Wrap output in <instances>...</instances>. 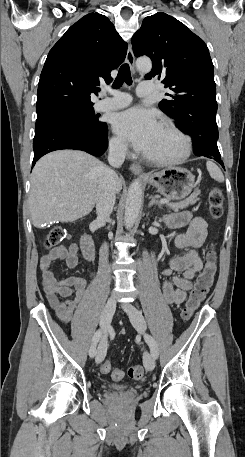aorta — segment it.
<instances>
[{
	"label": "aorta",
	"mask_w": 245,
	"mask_h": 457,
	"mask_svg": "<svg viewBox=\"0 0 245 457\" xmlns=\"http://www.w3.org/2000/svg\"><path fill=\"white\" fill-rule=\"evenodd\" d=\"M138 71L148 73L151 71L152 63L149 58H140L136 61ZM142 203V186L139 181L132 182L128 189L125 204L124 222L125 227L130 229L136 222Z\"/></svg>",
	"instance_id": "aorta-1"
}]
</instances>
